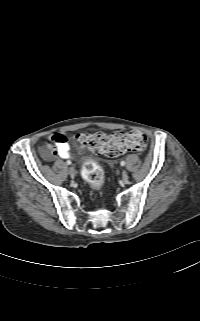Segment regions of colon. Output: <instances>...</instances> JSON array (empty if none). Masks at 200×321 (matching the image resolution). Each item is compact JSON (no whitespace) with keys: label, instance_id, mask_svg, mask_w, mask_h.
Segmentation results:
<instances>
[{"label":"colon","instance_id":"colon-1","mask_svg":"<svg viewBox=\"0 0 200 321\" xmlns=\"http://www.w3.org/2000/svg\"><path fill=\"white\" fill-rule=\"evenodd\" d=\"M81 142L95 153L117 157L126 152H142L147 148V138L139 131L119 132L107 135L101 132H87L80 136ZM82 177L93 188H102L105 176L101 166L93 161L84 162Z\"/></svg>","mask_w":200,"mask_h":321}]
</instances>
